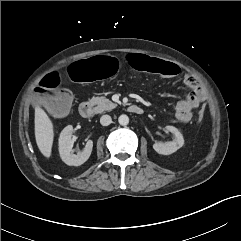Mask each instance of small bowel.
I'll return each mask as SVG.
<instances>
[{
	"mask_svg": "<svg viewBox=\"0 0 241 241\" xmlns=\"http://www.w3.org/2000/svg\"><path fill=\"white\" fill-rule=\"evenodd\" d=\"M183 80L184 83L192 89V91L186 98L177 102L175 107V115L179 122L188 123L192 118V110L197 108L205 100L206 92L193 75L185 73Z\"/></svg>",
	"mask_w": 241,
	"mask_h": 241,
	"instance_id": "1",
	"label": "small bowel"
}]
</instances>
